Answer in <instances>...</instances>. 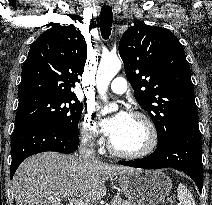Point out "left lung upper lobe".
<instances>
[{"mask_svg": "<svg viewBox=\"0 0 212 205\" xmlns=\"http://www.w3.org/2000/svg\"><path fill=\"white\" fill-rule=\"evenodd\" d=\"M119 54L138 104L155 124L158 144L180 122L198 116L189 63L170 30L136 24L122 35Z\"/></svg>", "mask_w": 212, "mask_h": 205, "instance_id": "obj_1", "label": "left lung upper lobe"}]
</instances>
